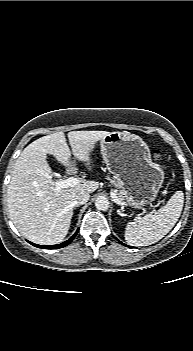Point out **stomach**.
Instances as JSON below:
<instances>
[{
    "label": "stomach",
    "mask_w": 193,
    "mask_h": 351,
    "mask_svg": "<svg viewBox=\"0 0 193 351\" xmlns=\"http://www.w3.org/2000/svg\"><path fill=\"white\" fill-rule=\"evenodd\" d=\"M101 154L110 173L127 192V205L142 209L155 200L164 181L162 167L151 158L146 142L129 132H111L101 140Z\"/></svg>",
    "instance_id": "stomach-1"
}]
</instances>
